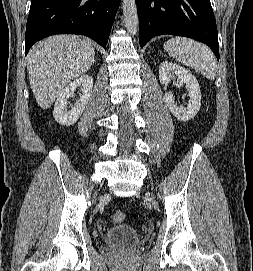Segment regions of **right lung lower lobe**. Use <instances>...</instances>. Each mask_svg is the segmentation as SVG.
<instances>
[{"mask_svg": "<svg viewBox=\"0 0 253 271\" xmlns=\"http://www.w3.org/2000/svg\"><path fill=\"white\" fill-rule=\"evenodd\" d=\"M120 1L32 0L25 55L38 40L63 33L88 36L105 48Z\"/></svg>", "mask_w": 253, "mask_h": 271, "instance_id": "98d812e1", "label": "right lung lower lobe"}]
</instances>
